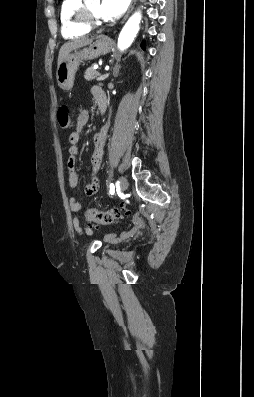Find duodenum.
Segmentation results:
<instances>
[{
	"label": "duodenum",
	"mask_w": 254,
	"mask_h": 397,
	"mask_svg": "<svg viewBox=\"0 0 254 397\" xmlns=\"http://www.w3.org/2000/svg\"><path fill=\"white\" fill-rule=\"evenodd\" d=\"M98 106L101 112H104L106 110V106H107L106 95H103L98 99Z\"/></svg>",
	"instance_id": "410a0bca"
}]
</instances>
